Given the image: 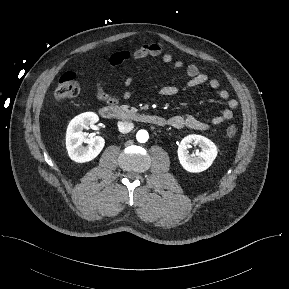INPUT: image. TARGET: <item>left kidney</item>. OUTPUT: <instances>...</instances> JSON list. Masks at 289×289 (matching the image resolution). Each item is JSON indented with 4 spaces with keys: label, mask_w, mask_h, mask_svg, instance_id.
Masks as SVG:
<instances>
[{
    "label": "left kidney",
    "mask_w": 289,
    "mask_h": 289,
    "mask_svg": "<svg viewBox=\"0 0 289 289\" xmlns=\"http://www.w3.org/2000/svg\"><path fill=\"white\" fill-rule=\"evenodd\" d=\"M194 143L200 146L201 151L190 155L188 146ZM216 145L208 138L201 135H188L178 148V158L181 166L188 172L199 173L208 169L217 156Z\"/></svg>",
    "instance_id": "5707ae66"
}]
</instances>
